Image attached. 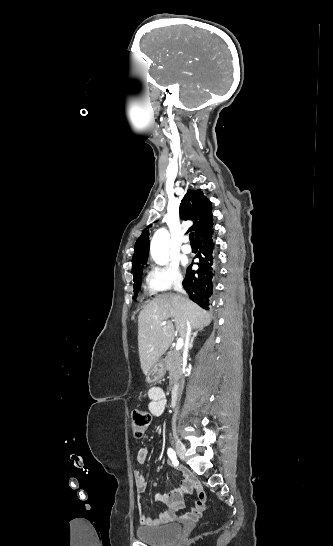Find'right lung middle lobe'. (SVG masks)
Listing matches in <instances>:
<instances>
[{
  "label": "right lung middle lobe",
  "mask_w": 333,
  "mask_h": 546,
  "mask_svg": "<svg viewBox=\"0 0 333 546\" xmlns=\"http://www.w3.org/2000/svg\"><path fill=\"white\" fill-rule=\"evenodd\" d=\"M133 281H134V296H133V299H135L137 297L138 289H139V285H140L139 274L134 277Z\"/></svg>",
  "instance_id": "obj_1"
}]
</instances>
